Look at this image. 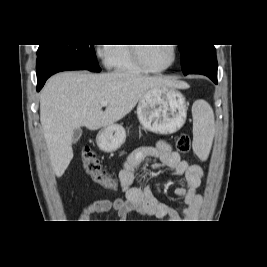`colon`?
<instances>
[{"label": "colon", "instance_id": "5ec220e1", "mask_svg": "<svg viewBox=\"0 0 267 267\" xmlns=\"http://www.w3.org/2000/svg\"><path fill=\"white\" fill-rule=\"evenodd\" d=\"M176 148L179 152L187 153L191 148V139L187 134H180L176 140ZM81 162L85 173L90 179L104 188H120L116 181L101 166L98 158L90 148H84L81 152Z\"/></svg>", "mask_w": 267, "mask_h": 267}]
</instances>
